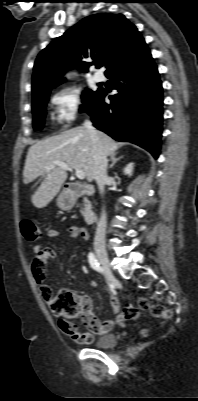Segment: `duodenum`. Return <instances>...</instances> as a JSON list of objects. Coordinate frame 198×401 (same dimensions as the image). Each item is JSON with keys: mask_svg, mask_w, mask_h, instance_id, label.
I'll list each match as a JSON object with an SVG mask.
<instances>
[{"mask_svg": "<svg viewBox=\"0 0 198 401\" xmlns=\"http://www.w3.org/2000/svg\"><path fill=\"white\" fill-rule=\"evenodd\" d=\"M94 194V188L85 184H71L67 188V196L66 199L70 205H73L74 202L82 196H92ZM96 219V213L93 208L87 204L84 211L83 220L86 225H91L94 223Z\"/></svg>", "mask_w": 198, "mask_h": 401, "instance_id": "duodenum-1", "label": "duodenum"}]
</instances>
